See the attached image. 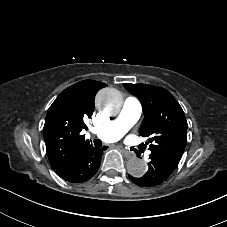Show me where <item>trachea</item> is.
<instances>
[{
	"instance_id": "1",
	"label": "trachea",
	"mask_w": 227,
	"mask_h": 227,
	"mask_svg": "<svg viewBox=\"0 0 227 227\" xmlns=\"http://www.w3.org/2000/svg\"><path fill=\"white\" fill-rule=\"evenodd\" d=\"M100 142V140L99 139H96L95 141H94V144H95V146H100L101 145V143H99ZM100 144V145H99Z\"/></svg>"
}]
</instances>
